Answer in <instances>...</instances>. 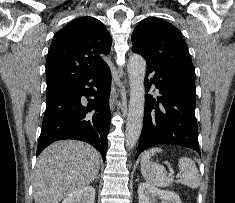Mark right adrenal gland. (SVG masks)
Returning a JSON list of instances; mask_svg holds the SVG:
<instances>
[{"label": "right adrenal gland", "mask_w": 235, "mask_h": 203, "mask_svg": "<svg viewBox=\"0 0 235 203\" xmlns=\"http://www.w3.org/2000/svg\"><path fill=\"white\" fill-rule=\"evenodd\" d=\"M96 179H99V175H98V176H96Z\"/></svg>", "instance_id": "obj_1"}]
</instances>
